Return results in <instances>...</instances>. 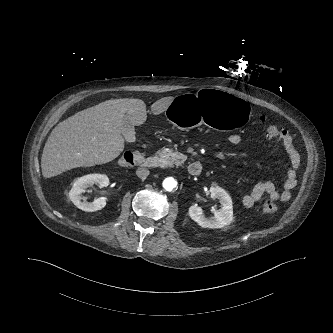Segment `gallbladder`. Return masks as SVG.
I'll return each mask as SVG.
<instances>
[{
    "label": "gallbladder",
    "instance_id": "obj_1",
    "mask_svg": "<svg viewBox=\"0 0 333 333\" xmlns=\"http://www.w3.org/2000/svg\"><path fill=\"white\" fill-rule=\"evenodd\" d=\"M121 133L128 142H134L136 139L134 123L128 116H125L123 119V123L121 126Z\"/></svg>",
    "mask_w": 333,
    "mask_h": 333
}]
</instances>
